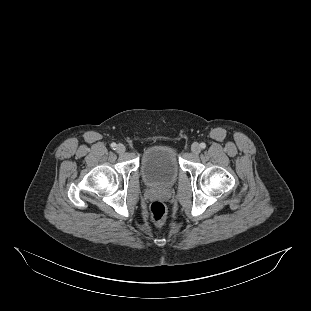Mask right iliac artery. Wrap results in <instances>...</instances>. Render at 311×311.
<instances>
[{
	"instance_id": "1",
	"label": "right iliac artery",
	"mask_w": 311,
	"mask_h": 311,
	"mask_svg": "<svg viewBox=\"0 0 311 311\" xmlns=\"http://www.w3.org/2000/svg\"><path fill=\"white\" fill-rule=\"evenodd\" d=\"M111 148L115 149L116 148V143H111Z\"/></svg>"
}]
</instances>
